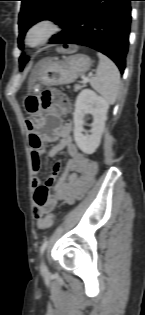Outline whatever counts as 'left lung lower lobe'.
Returning <instances> with one entry per match:
<instances>
[{"instance_id": "0a47b994", "label": "left lung lower lobe", "mask_w": 145, "mask_h": 315, "mask_svg": "<svg viewBox=\"0 0 145 315\" xmlns=\"http://www.w3.org/2000/svg\"><path fill=\"white\" fill-rule=\"evenodd\" d=\"M131 1L135 0H75L62 32L52 38V43L93 48L111 58L123 73L129 46ZM19 48H23V42Z\"/></svg>"}]
</instances>
